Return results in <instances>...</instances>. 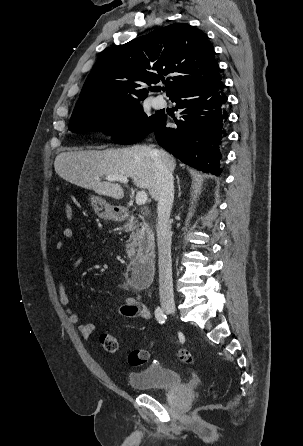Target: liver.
<instances>
[{"label":"liver","instance_id":"1","mask_svg":"<svg viewBox=\"0 0 303 446\" xmlns=\"http://www.w3.org/2000/svg\"><path fill=\"white\" fill-rule=\"evenodd\" d=\"M153 150L171 171L175 169L176 161L172 155L145 145L103 151L62 152L55 158L54 168L64 180L114 199L123 198V188L120 184L101 181L100 178L109 175L130 177L138 188L147 189L157 200Z\"/></svg>","mask_w":303,"mask_h":446}]
</instances>
